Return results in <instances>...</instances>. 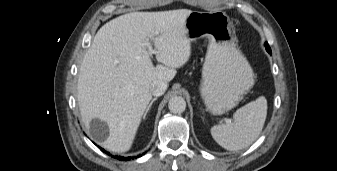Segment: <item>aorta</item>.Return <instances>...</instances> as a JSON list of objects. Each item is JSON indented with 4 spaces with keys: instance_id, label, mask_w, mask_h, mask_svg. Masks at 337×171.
I'll return each instance as SVG.
<instances>
[{
    "instance_id": "aorta-1",
    "label": "aorta",
    "mask_w": 337,
    "mask_h": 171,
    "mask_svg": "<svg viewBox=\"0 0 337 171\" xmlns=\"http://www.w3.org/2000/svg\"><path fill=\"white\" fill-rule=\"evenodd\" d=\"M168 107L172 113L180 114L186 109V101L180 96H174L169 100Z\"/></svg>"
}]
</instances>
